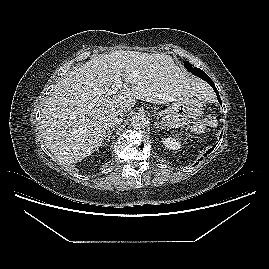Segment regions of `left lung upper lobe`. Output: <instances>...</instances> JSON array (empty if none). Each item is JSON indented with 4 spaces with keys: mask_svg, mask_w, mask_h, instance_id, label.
<instances>
[{
    "mask_svg": "<svg viewBox=\"0 0 269 269\" xmlns=\"http://www.w3.org/2000/svg\"><path fill=\"white\" fill-rule=\"evenodd\" d=\"M185 67L189 72L195 73L196 71H198L199 68L193 67L190 63H188L187 61H184Z\"/></svg>",
    "mask_w": 269,
    "mask_h": 269,
    "instance_id": "5c2ea615",
    "label": "left lung upper lobe"
}]
</instances>
